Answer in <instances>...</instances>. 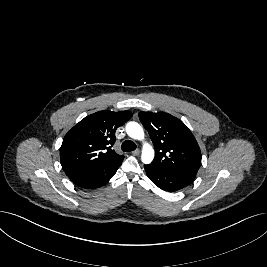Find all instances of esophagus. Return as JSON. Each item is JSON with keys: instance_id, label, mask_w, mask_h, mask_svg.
I'll list each match as a JSON object with an SVG mask.
<instances>
[{"instance_id": "34e87169", "label": "esophagus", "mask_w": 267, "mask_h": 267, "mask_svg": "<svg viewBox=\"0 0 267 267\" xmlns=\"http://www.w3.org/2000/svg\"><path fill=\"white\" fill-rule=\"evenodd\" d=\"M132 154L135 155V156H137V155L140 154V150L139 149H136V150L132 151Z\"/></svg>"}]
</instances>
